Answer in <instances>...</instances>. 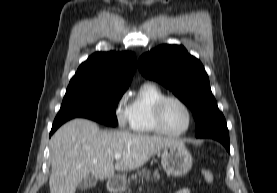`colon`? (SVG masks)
Segmentation results:
<instances>
[{
	"label": "colon",
	"mask_w": 277,
	"mask_h": 193,
	"mask_svg": "<svg viewBox=\"0 0 277 193\" xmlns=\"http://www.w3.org/2000/svg\"><path fill=\"white\" fill-rule=\"evenodd\" d=\"M202 176L206 183H208V184L213 183L214 175H213L212 171H210L208 169H204V170H202Z\"/></svg>",
	"instance_id": "colon-1"
}]
</instances>
